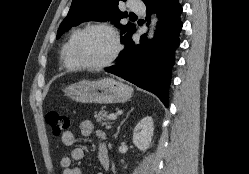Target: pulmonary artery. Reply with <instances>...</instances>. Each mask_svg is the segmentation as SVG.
<instances>
[{
    "label": "pulmonary artery",
    "mask_w": 249,
    "mask_h": 174,
    "mask_svg": "<svg viewBox=\"0 0 249 174\" xmlns=\"http://www.w3.org/2000/svg\"><path fill=\"white\" fill-rule=\"evenodd\" d=\"M130 8L135 14H144L146 11L145 5L137 0H132L130 2Z\"/></svg>",
    "instance_id": "e3ab8cb5"
}]
</instances>
